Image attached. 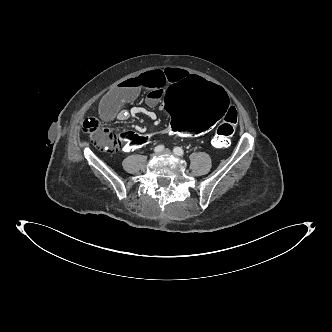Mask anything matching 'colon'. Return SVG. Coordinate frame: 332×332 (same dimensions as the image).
<instances>
[{
	"mask_svg": "<svg viewBox=\"0 0 332 332\" xmlns=\"http://www.w3.org/2000/svg\"><path fill=\"white\" fill-rule=\"evenodd\" d=\"M230 109L229 94L218 83L196 75L185 76L165 95L163 110L168 120L165 129L174 135L198 136L220 124L213 137V144L226 147L230 144L238 121L237 112ZM82 129L93 145L110 153L118 150L124 153L126 149L134 150L139 145H154L158 137L150 132L138 134L126 131L121 134L120 142L94 117L85 119Z\"/></svg>",
	"mask_w": 332,
	"mask_h": 332,
	"instance_id": "colon-1",
	"label": "colon"
}]
</instances>
